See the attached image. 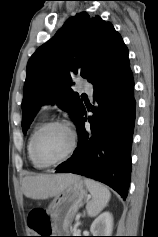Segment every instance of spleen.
I'll list each match as a JSON object with an SVG mask.
<instances>
[{
  "label": "spleen",
  "mask_w": 158,
  "mask_h": 237,
  "mask_svg": "<svg viewBox=\"0 0 158 237\" xmlns=\"http://www.w3.org/2000/svg\"><path fill=\"white\" fill-rule=\"evenodd\" d=\"M84 183L91 193L92 199L87 203V213L91 217L97 216L110 200L111 193L103 184L86 178Z\"/></svg>",
  "instance_id": "3e777b00"
}]
</instances>
